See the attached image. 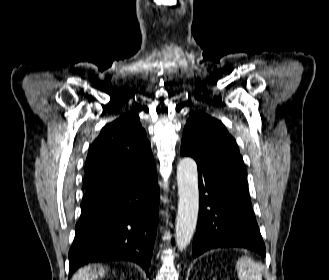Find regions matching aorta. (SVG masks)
<instances>
[{
    "mask_svg": "<svg viewBox=\"0 0 329 280\" xmlns=\"http://www.w3.org/2000/svg\"><path fill=\"white\" fill-rule=\"evenodd\" d=\"M178 212L175 241L179 250L190 244L197 225L199 190L197 164L192 158H183L177 166Z\"/></svg>",
    "mask_w": 329,
    "mask_h": 280,
    "instance_id": "obj_1",
    "label": "aorta"
}]
</instances>
